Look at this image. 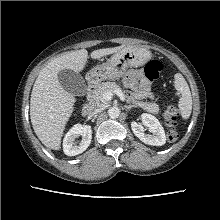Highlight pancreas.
Wrapping results in <instances>:
<instances>
[{"mask_svg":"<svg viewBox=\"0 0 220 220\" xmlns=\"http://www.w3.org/2000/svg\"><path fill=\"white\" fill-rule=\"evenodd\" d=\"M116 89H120V87L115 82H103L101 83L98 88L94 91L91 101L94 107H105L109 103L103 99V95L107 91H114ZM138 99L137 95L134 96ZM133 107H141L142 109L146 110L147 112L158 114L159 113V106L154 102H142L138 100L133 101Z\"/></svg>","mask_w":220,"mask_h":220,"instance_id":"1","label":"pancreas"}]
</instances>
